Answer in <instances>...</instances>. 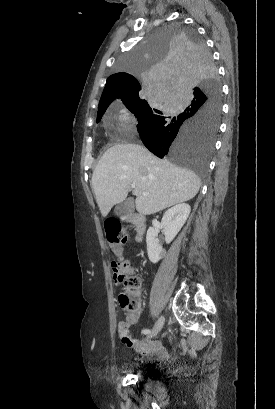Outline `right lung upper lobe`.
<instances>
[{"mask_svg": "<svg viewBox=\"0 0 275 409\" xmlns=\"http://www.w3.org/2000/svg\"><path fill=\"white\" fill-rule=\"evenodd\" d=\"M141 85L138 80L128 73H116L108 77L103 90L98 112L107 108L115 98L127 99L139 96Z\"/></svg>", "mask_w": 275, "mask_h": 409, "instance_id": "right-lung-upper-lobe-1", "label": "right lung upper lobe"}]
</instances>
